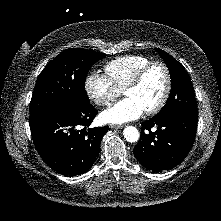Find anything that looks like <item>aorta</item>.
Listing matches in <instances>:
<instances>
[{"mask_svg":"<svg viewBox=\"0 0 221 221\" xmlns=\"http://www.w3.org/2000/svg\"><path fill=\"white\" fill-rule=\"evenodd\" d=\"M124 138L128 142H136L139 140V132L134 126H127L123 131Z\"/></svg>","mask_w":221,"mask_h":221,"instance_id":"1","label":"aorta"}]
</instances>
